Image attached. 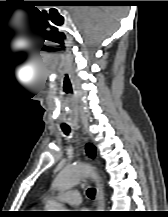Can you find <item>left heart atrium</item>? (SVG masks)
<instances>
[{
	"mask_svg": "<svg viewBox=\"0 0 168 217\" xmlns=\"http://www.w3.org/2000/svg\"><path fill=\"white\" fill-rule=\"evenodd\" d=\"M84 215H86L85 212L80 211L76 214V217H83Z\"/></svg>",
	"mask_w": 168,
	"mask_h": 217,
	"instance_id": "left-heart-atrium-1",
	"label": "left heart atrium"
}]
</instances>
